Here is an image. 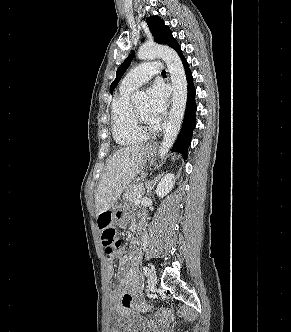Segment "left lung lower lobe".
Segmentation results:
<instances>
[{"label": "left lung lower lobe", "mask_w": 291, "mask_h": 332, "mask_svg": "<svg viewBox=\"0 0 291 332\" xmlns=\"http://www.w3.org/2000/svg\"><path fill=\"white\" fill-rule=\"evenodd\" d=\"M176 52L180 55L182 64L185 69L186 79L188 83V95L182 129L172 150L181 153L186 158L188 148L192 139V133L196 126L195 112L197 110V106L195 102V87L193 84L192 73L189 69V64L187 63V60L184 57L181 49H178Z\"/></svg>", "instance_id": "1"}]
</instances>
